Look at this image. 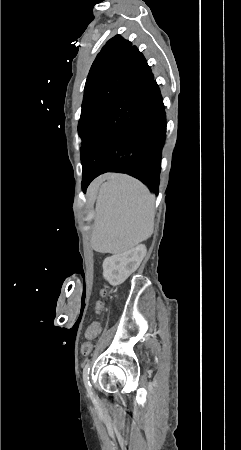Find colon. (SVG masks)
<instances>
[{"mask_svg":"<svg viewBox=\"0 0 241 450\" xmlns=\"http://www.w3.org/2000/svg\"><path fill=\"white\" fill-rule=\"evenodd\" d=\"M102 295L104 297L106 295V292H103ZM98 302H104V300L101 299ZM94 311L96 313H99L101 311L100 306H96L94 308ZM100 329H101L100 321H91L90 324L87 326V331L89 333H94L96 330H100ZM93 351H94V347L91 342H86L81 349L82 356H89L90 354H92Z\"/></svg>","mask_w":241,"mask_h":450,"instance_id":"5ec220e1","label":"colon"}]
</instances>
